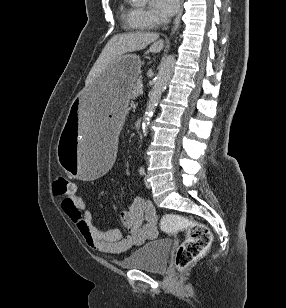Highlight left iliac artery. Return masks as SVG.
I'll list each match as a JSON object with an SVG mask.
<instances>
[{
    "label": "left iliac artery",
    "instance_id": "1",
    "mask_svg": "<svg viewBox=\"0 0 286 308\" xmlns=\"http://www.w3.org/2000/svg\"><path fill=\"white\" fill-rule=\"evenodd\" d=\"M139 173H140V175H142V176L145 175V169H144L143 166L140 167Z\"/></svg>",
    "mask_w": 286,
    "mask_h": 308
}]
</instances>
